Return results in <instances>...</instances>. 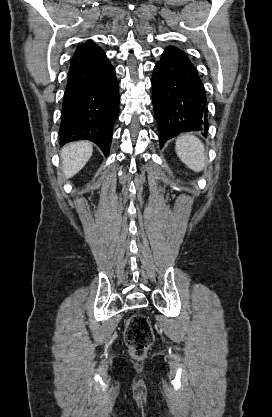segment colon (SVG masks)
I'll return each instance as SVG.
<instances>
[{
    "label": "colon",
    "mask_w": 272,
    "mask_h": 417,
    "mask_svg": "<svg viewBox=\"0 0 272 417\" xmlns=\"http://www.w3.org/2000/svg\"><path fill=\"white\" fill-rule=\"evenodd\" d=\"M124 338L132 356L143 358L154 339L148 319L142 314L130 316L125 325Z\"/></svg>",
    "instance_id": "colon-1"
}]
</instances>
